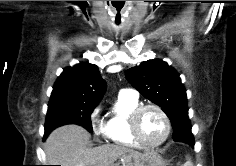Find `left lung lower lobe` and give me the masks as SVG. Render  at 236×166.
<instances>
[{
  "label": "left lung lower lobe",
  "instance_id": "obj_1",
  "mask_svg": "<svg viewBox=\"0 0 236 166\" xmlns=\"http://www.w3.org/2000/svg\"><path fill=\"white\" fill-rule=\"evenodd\" d=\"M173 127V140L179 142L188 143L191 146H194V138L191 133V130L188 126L179 121V122H172Z\"/></svg>",
  "mask_w": 236,
  "mask_h": 166
}]
</instances>
